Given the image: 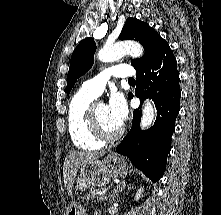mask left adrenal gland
<instances>
[{
	"label": "left adrenal gland",
	"instance_id": "1",
	"mask_svg": "<svg viewBox=\"0 0 221 215\" xmlns=\"http://www.w3.org/2000/svg\"><path fill=\"white\" fill-rule=\"evenodd\" d=\"M127 186L126 181H122L116 188L113 189V194L111 195V199L114 200L116 195H118L119 192L123 191Z\"/></svg>",
	"mask_w": 221,
	"mask_h": 215
}]
</instances>
